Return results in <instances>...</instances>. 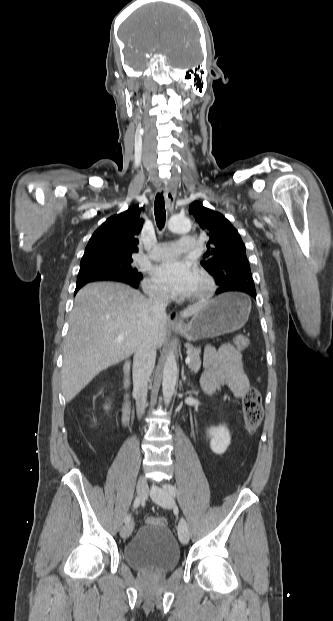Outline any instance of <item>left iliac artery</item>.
<instances>
[{
	"mask_svg": "<svg viewBox=\"0 0 333 621\" xmlns=\"http://www.w3.org/2000/svg\"><path fill=\"white\" fill-rule=\"evenodd\" d=\"M164 488H166L172 495H175L177 492L176 487L171 484L164 485Z\"/></svg>",
	"mask_w": 333,
	"mask_h": 621,
	"instance_id": "44dca946",
	"label": "left iliac artery"
}]
</instances>
